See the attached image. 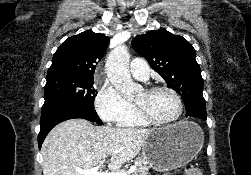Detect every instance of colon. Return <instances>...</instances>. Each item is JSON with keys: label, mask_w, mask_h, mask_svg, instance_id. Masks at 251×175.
<instances>
[{"label": "colon", "mask_w": 251, "mask_h": 175, "mask_svg": "<svg viewBox=\"0 0 251 175\" xmlns=\"http://www.w3.org/2000/svg\"><path fill=\"white\" fill-rule=\"evenodd\" d=\"M184 175H203L202 171L193 164H186L183 167Z\"/></svg>", "instance_id": "colon-1"}]
</instances>
